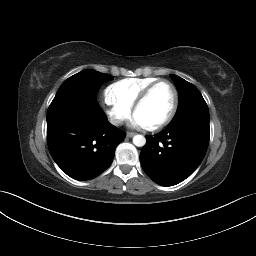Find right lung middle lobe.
I'll return each instance as SVG.
<instances>
[{
  "label": "right lung middle lobe",
  "instance_id": "right-lung-middle-lobe-1",
  "mask_svg": "<svg viewBox=\"0 0 256 256\" xmlns=\"http://www.w3.org/2000/svg\"><path fill=\"white\" fill-rule=\"evenodd\" d=\"M112 80L107 74L87 69L65 80L58 89L48 111L57 107L82 103L87 98L86 85L90 84L97 95L103 83Z\"/></svg>",
  "mask_w": 256,
  "mask_h": 256
}]
</instances>
